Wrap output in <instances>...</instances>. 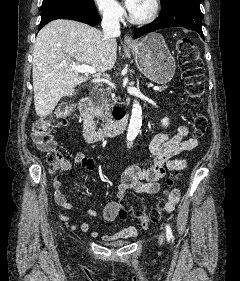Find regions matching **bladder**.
<instances>
[{"label":"bladder","mask_w":240,"mask_h":281,"mask_svg":"<svg viewBox=\"0 0 240 281\" xmlns=\"http://www.w3.org/2000/svg\"><path fill=\"white\" fill-rule=\"evenodd\" d=\"M108 244L111 246H124V245L128 244V241L127 240L113 241Z\"/></svg>","instance_id":"obj_1"}]
</instances>
